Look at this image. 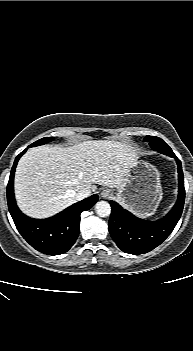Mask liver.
<instances>
[{"instance_id":"1","label":"liver","mask_w":193,"mask_h":351,"mask_svg":"<svg viewBox=\"0 0 193 351\" xmlns=\"http://www.w3.org/2000/svg\"><path fill=\"white\" fill-rule=\"evenodd\" d=\"M135 155L125 143L89 140L71 147L39 146L20 159L15 173L19 208L34 218L52 216L77 200L82 189L96 184L124 186Z\"/></svg>"}]
</instances>
